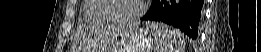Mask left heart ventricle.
<instances>
[{"instance_id": "left-heart-ventricle-1", "label": "left heart ventricle", "mask_w": 261, "mask_h": 52, "mask_svg": "<svg viewBox=\"0 0 261 52\" xmlns=\"http://www.w3.org/2000/svg\"><path fill=\"white\" fill-rule=\"evenodd\" d=\"M115 8L113 10L114 17L128 18L135 14L140 7V0H117L114 2Z\"/></svg>"}]
</instances>
